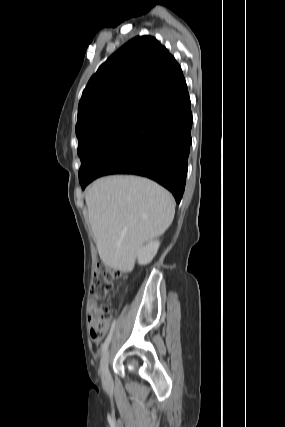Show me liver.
Listing matches in <instances>:
<instances>
[{
	"instance_id": "liver-1",
	"label": "liver",
	"mask_w": 285,
	"mask_h": 427,
	"mask_svg": "<svg viewBox=\"0 0 285 427\" xmlns=\"http://www.w3.org/2000/svg\"><path fill=\"white\" fill-rule=\"evenodd\" d=\"M85 201L99 256L119 269H132L139 249L162 235L175 214L172 195L138 176L102 177L88 188Z\"/></svg>"
}]
</instances>
